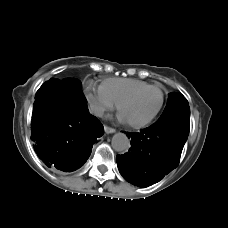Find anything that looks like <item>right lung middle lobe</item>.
Wrapping results in <instances>:
<instances>
[{
    "label": "right lung middle lobe",
    "instance_id": "dd1d6c3e",
    "mask_svg": "<svg viewBox=\"0 0 228 228\" xmlns=\"http://www.w3.org/2000/svg\"><path fill=\"white\" fill-rule=\"evenodd\" d=\"M49 81L55 85H60L61 87H63L65 89V95L69 100H75L82 94L81 83L77 79L70 78L59 80L56 78H52Z\"/></svg>",
    "mask_w": 228,
    "mask_h": 228
}]
</instances>
